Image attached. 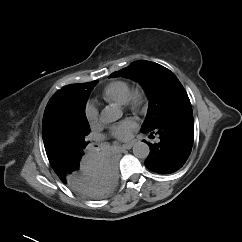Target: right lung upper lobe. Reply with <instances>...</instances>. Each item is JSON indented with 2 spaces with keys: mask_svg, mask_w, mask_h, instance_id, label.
Segmentation results:
<instances>
[{
  "mask_svg": "<svg viewBox=\"0 0 242 242\" xmlns=\"http://www.w3.org/2000/svg\"><path fill=\"white\" fill-rule=\"evenodd\" d=\"M91 83H83V84H72L63 87L61 90L57 91L49 100L44 116H43V125L42 131L46 128V123L51 116L58 112L62 111H72L79 107L82 99L85 94L88 93V90L91 88ZM65 162H51L52 167H56L58 165L64 164Z\"/></svg>",
  "mask_w": 242,
  "mask_h": 242,
  "instance_id": "obj_1",
  "label": "right lung upper lobe"
}]
</instances>
